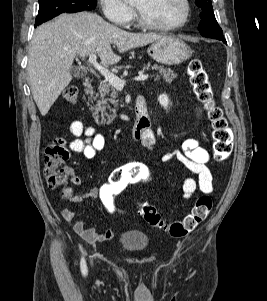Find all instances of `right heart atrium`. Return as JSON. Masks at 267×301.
I'll use <instances>...</instances> for the list:
<instances>
[{
	"instance_id": "obj_1",
	"label": "right heart atrium",
	"mask_w": 267,
	"mask_h": 301,
	"mask_svg": "<svg viewBox=\"0 0 267 301\" xmlns=\"http://www.w3.org/2000/svg\"><path fill=\"white\" fill-rule=\"evenodd\" d=\"M104 16L116 25L126 28L134 18L133 9L123 0H100Z\"/></svg>"
}]
</instances>
